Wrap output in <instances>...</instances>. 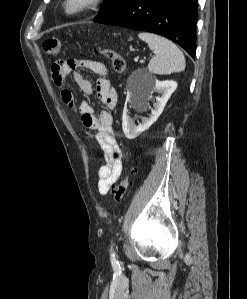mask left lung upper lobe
I'll return each mask as SVG.
<instances>
[{
  "instance_id": "left-lung-upper-lobe-1",
  "label": "left lung upper lobe",
  "mask_w": 247,
  "mask_h": 299,
  "mask_svg": "<svg viewBox=\"0 0 247 299\" xmlns=\"http://www.w3.org/2000/svg\"><path fill=\"white\" fill-rule=\"evenodd\" d=\"M124 0H104L101 10L99 11L98 15L95 17L94 22L99 21L111 13H113L123 2Z\"/></svg>"
}]
</instances>
